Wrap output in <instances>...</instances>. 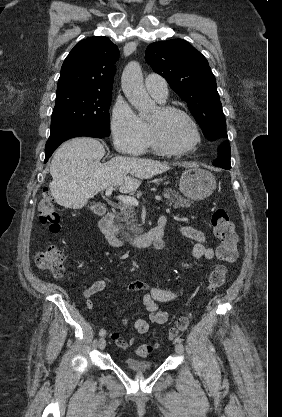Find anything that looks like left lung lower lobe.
I'll list each match as a JSON object with an SVG mask.
<instances>
[{"label": "left lung lower lobe", "instance_id": "0a47b994", "mask_svg": "<svg viewBox=\"0 0 282 417\" xmlns=\"http://www.w3.org/2000/svg\"><path fill=\"white\" fill-rule=\"evenodd\" d=\"M218 146V158L213 162L215 166L230 169V145L226 139L215 142Z\"/></svg>", "mask_w": 282, "mask_h": 417}]
</instances>
